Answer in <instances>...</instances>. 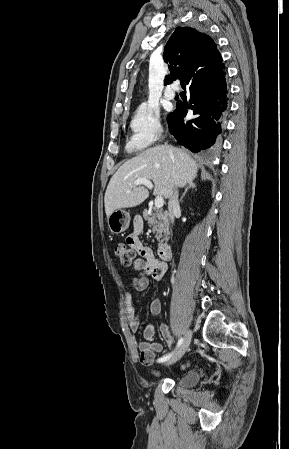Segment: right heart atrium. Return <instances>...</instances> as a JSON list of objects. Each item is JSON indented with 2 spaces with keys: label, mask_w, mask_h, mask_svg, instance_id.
<instances>
[{
  "label": "right heart atrium",
  "mask_w": 289,
  "mask_h": 449,
  "mask_svg": "<svg viewBox=\"0 0 289 449\" xmlns=\"http://www.w3.org/2000/svg\"><path fill=\"white\" fill-rule=\"evenodd\" d=\"M130 143L136 148H146L156 143L162 135L160 115L147 104L140 105L130 122Z\"/></svg>",
  "instance_id": "d8ad5b80"
}]
</instances>
